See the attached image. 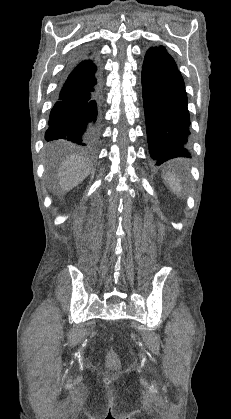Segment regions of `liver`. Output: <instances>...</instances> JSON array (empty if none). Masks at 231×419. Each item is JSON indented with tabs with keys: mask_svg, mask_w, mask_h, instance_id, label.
I'll list each match as a JSON object with an SVG mask.
<instances>
[{
	"mask_svg": "<svg viewBox=\"0 0 231 419\" xmlns=\"http://www.w3.org/2000/svg\"><path fill=\"white\" fill-rule=\"evenodd\" d=\"M87 160L72 156L62 163L59 170V184L63 191H69L80 184L89 174Z\"/></svg>",
	"mask_w": 231,
	"mask_h": 419,
	"instance_id": "obj_1",
	"label": "liver"
}]
</instances>
